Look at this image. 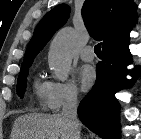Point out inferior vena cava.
<instances>
[{
	"label": "inferior vena cava",
	"mask_w": 141,
	"mask_h": 139,
	"mask_svg": "<svg viewBox=\"0 0 141 139\" xmlns=\"http://www.w3.org/2000/svg\"><path fill=\"white\" fill-rule=\"evenodd\" d=\"M77 95L75 93H69L63 103L61 116L66 119L69 124L72 139H80L81 123L77 117Z\"/></svg>",
	"instance_id": "obj_1"
}]
</instances>
